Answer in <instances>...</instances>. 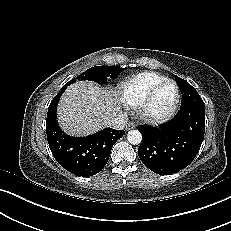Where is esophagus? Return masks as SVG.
<instances>
[{
	"label": "esophagus",
	"mask_w": 231,
	"mask_h": 231,
	"mask_svg": "<svg viewBox=\"0 0 231 231\" xmlns=\"http://www.w3.org/2000/svg\"><path fill=\"white\" fill-rule=\"evenodd\" d=\"M136 127L135 123L134 122H129L127 125H126V130H131V129H134Z\"/></svg>",
	"instance_id": "esophagus-1"
}]
</instances>
